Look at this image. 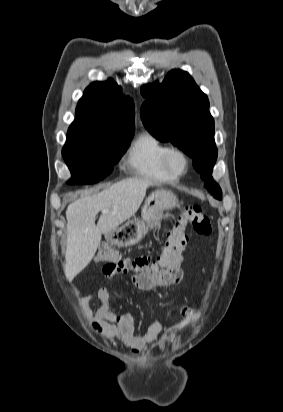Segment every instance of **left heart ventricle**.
Masks as SVG:
<instances>
[{
    "instance_id": "left-heart-ventricle-1",
    "label": "left heart ventricle",
    "mask_w": 283,
    "mask_h": 412,
    "mask_svg": "<svg viewBox=\"0 0 283 412\" xmlns=\"http://www.w3.org/2000/svg\"><path fill=\"white\" fill-rule=\"evenodd\" d=\"M172 166L177 170H182L184 167V161L180 156H174L172 158Z\"/></svg>"
}]
</instances>
